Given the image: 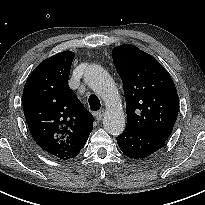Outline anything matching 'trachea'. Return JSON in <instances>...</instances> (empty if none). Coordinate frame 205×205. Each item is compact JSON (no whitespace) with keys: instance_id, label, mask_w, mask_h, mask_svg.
Segmentation results:
<instances>
[{"instance_id":"trachea-1","label":"trachea","mask_w":205,"mask_h":205,"mask_svg":"<svg viewBox=\"0 0 205 205\" xmlns=\"http://www.w3.org/2000/svg\"><path fill=\"white\" fill-rule=\"evenodd\" d=\"M88 101H89V106H90L91 110H99L100 109L101 104H100V100L98 99L97 96L90 95Z\"/></svg>"}]
</instances>
